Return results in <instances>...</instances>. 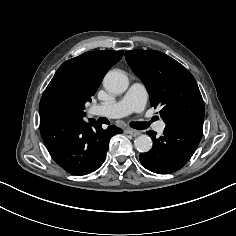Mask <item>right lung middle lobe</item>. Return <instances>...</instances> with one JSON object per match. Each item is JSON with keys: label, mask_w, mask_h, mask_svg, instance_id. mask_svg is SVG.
<instances>
[{"label": "right lung middle lobe", "mask_w": 236, "mask_h": 236, "mask_svg": "<svg viewBox=\"0 0 236 236\" xmlns=\"http://www.w3.org/2000/svg\"><path fill=\"white\" fill-rule=\"evenodd\" d=\"M84 107L85 101L70 92L57 93L51 99V109L75 118L85 116Z\"/></svg>", "instance_id": "obj_1"}]
</instances>
